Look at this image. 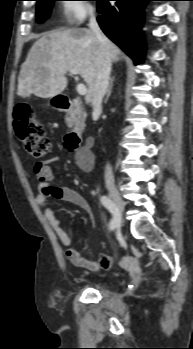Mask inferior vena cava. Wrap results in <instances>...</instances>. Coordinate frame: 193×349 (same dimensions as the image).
Returning a JSON list of instances; mask_svg holds the SVG:
<instances>
[{
    "mask_svg": "<svg viewBox=\"0 0 193 349\" xmlns=\"http://www.w3.org/2000/svg\"><path fill=\"white\" fill-rule=\"evenodd\" d=\"M89 27L100 42V53L98 57L96 80L91 105L95 113H101L102 100L109 85L112 55L109 47V40L102 33L93 12L90 13ZM104 178L106 185L114 184L112 167L109 164H107L105 168Z\"/></svg>",
    "mask_w": 193,
    "mask_h": 349,
    "instance_id": "obj_1",
    "label": "inferior vena cava"
}]
</instances>
